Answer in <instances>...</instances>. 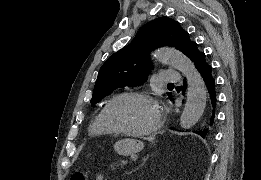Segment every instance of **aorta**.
I'll use <instances>...</instances> for the list:
<instances>
[{
  "instance_id": "obj_1",
  "label": "aorta",
  "mask_w": 261,
  "mask_h": 180,
  "mask_svg": "<svg viewBox=\"0 0 261 180\" xmlns=\"http://www.w3.org/2000/svg\"><path fill=\"white\" fill-rule=\"evenodd\" d=\"M160 62H166L180 71L187 80V98L180 117V125L184 129L192 128L203 115L207 101L204 80L192 61L174 48H161L154 52Z\"/></svg>"
}]
</instances>
